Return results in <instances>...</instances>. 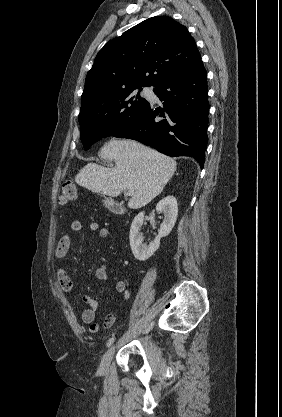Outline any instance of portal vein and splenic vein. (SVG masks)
<instances>
[{
  "mask_svg": "<svg viewBox=\"0 0 282 417\" xmlns=\"http://www.w3.org/2000/svg\"><path fill=\"white\" fill-rule=\"evenodd\" d=\"M126 194H128V196H131V194H133V190H127Z\"/></svg>",
  "mask_w": 282,
  "mask_h": 417,
  "instance_id": "18ae733b",
  "label": "portal vein and splenic vein"
}]
</instances>
